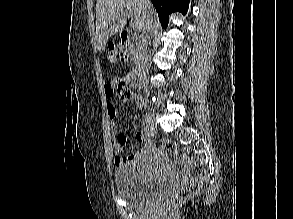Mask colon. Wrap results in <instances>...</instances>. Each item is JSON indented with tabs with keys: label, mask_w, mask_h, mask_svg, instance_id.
<instances>
[{
	"label": "colon",
	"mask_w": 293,
	"mask_h": 219,
	"mask_svg": "<svg viewBox=\"0 0 293 219\" xmlns=\"http://www.w3.org/2000/svg\"><path fill=\"white\" fill-rule=\"evenodd\" d=\"M128 58L129 51L125 45L109 46L108 60L111 63L126 61ZM111 84L121 100L129 99L131 91L122 80L116 78L111 82ZM161 146L169 154L176 155L178 152L176 142L171 139H163L161 141ZM182 161L188 166L192 165V160L187 155L182 156ZM208 178L209 175L207 172H200L194 180L184 182L182 185L176 188L169 197L168 203L174 205L187 200L200 188L201 185H203L208 180Z\"/></svg>",
	"instance_id": "obj_1"
}]
</instances>
